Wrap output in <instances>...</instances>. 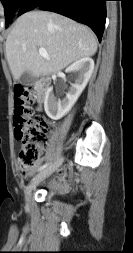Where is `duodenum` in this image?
<instances>
[{"mask_svg": "<svg viewBox=\"0 0 133 253\" xmlns=\"http://www.w3.org/2000/svg\"><path fill=\"white\" fill-rule=\"evenodd\" d=\"M35 88L37 91L38 103H39V108H40L47 97V94L50 88V79L47 77L40 78L36 82Z\"/></svg>", "mask_w": 133, "mask_h": 253, "instance_id": "1", "label": "duodenum"}]
</instances>
